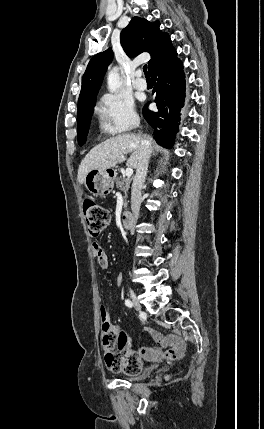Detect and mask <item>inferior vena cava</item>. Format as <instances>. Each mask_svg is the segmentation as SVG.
Returning a JSON list of instances; mask_svg holds the SVG:
<instances>
[{
    "label": "inferior vena cava",
    "mask_w": 264,
    "mask_h": 429,
    "mask_svg": "<svg viewBox=\"0 0 264 429\" xmlns=\"http://www.w3.org/2000/svg\"><path fill=\"white\" fill-rule=\"evenodd\" d=\"M139 126V122L136 124ZM151 154V146L147 141L141 142V152L138 164L136 166V175L133 180L132 191H131V210L134 217L132 218L131 227L129 229L130 233L134 232L136 224L139 223L138 215L140 211V206L142 202V187L146 179L148 162Z\"/></svg>",
    "instance_id": "inferior-vena-cava-1"
}]
</instances>
